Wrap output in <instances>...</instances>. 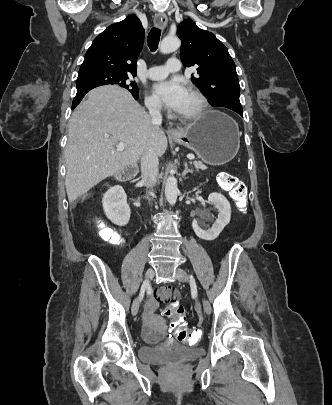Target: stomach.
<instances>
[{"label":"stomach","instance_id":"stomach-1","mask_svg":"<svg viewBox=\"0 0 332 405\" xmlns=\"http://www.w3.org/2000/svg\"><path fill=\"white\" fill-rule=\"evenodd\" d=\"M192 150L210 165H223L238 153L240 133L237 124L219 111H207L195 122L170 137Z\"/></svg>","mask_w":332,"mask_h":405}]
</instances>
